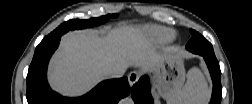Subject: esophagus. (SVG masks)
Segmentation results:
<instances>
[{"label": "esophagus", "mask_w": 252, "mask_h": 104, "mask_svg": "<svg viewBox=\"0 0 252 104\" xmlns=\"http://www.w3.org/2000/svg\"><path fill=\"white\" fill-rule=\"evenodd\" d=\"M139 79V73L137 71H132L128 75V82L130 86H133Z\"/></svg>", "instance_id": "esophagus-1"}]
</instances>
